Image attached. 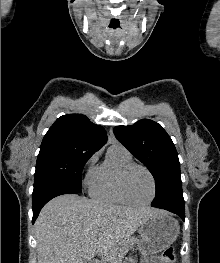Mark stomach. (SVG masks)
I'll return each mask as SVG.
<instances>
[{
    "mask_svg": "<svg viewBox=\"0 0 220 263\" xmlns=\"http://www.w3.org/2000/svg\"><path fill=\"white\" fill-rule=\"evenodd\" d=\"M138 248L143 256L158 253L169 247L180 234L178 221L166 212H159L146 220L139 228ZM124 263H135L132 257Z\"/></svg>",
    "mask_w": 220,
    "mask_h": 263,
    "instance_id": "obj_1",
    "label": "stomach"
}]
</instances>
